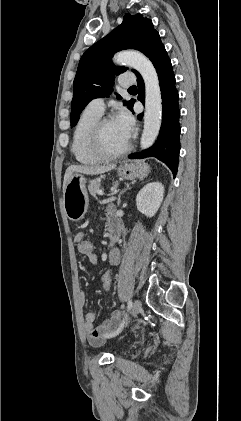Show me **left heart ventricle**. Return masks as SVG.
I'll use <instances>...</instances> for the list:
<instances>
[{
    "label": "left heart ventricle",
    "instance_id": "obj_1",
    "mask_svg": "<svg viewBox=\"0 0 241 421\" xmlns=\"http://www.w3.org/2000/svg\"><path fill=\"white\" fill-rule=\"evenodd\" d=\"M128 139L114 121L107 123L102 132V143L108 152H118L128 143Z\"/></svg>",
    "mask_w": 241,
    "mask_h": 421
}]
</instances>
